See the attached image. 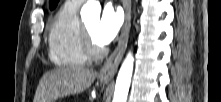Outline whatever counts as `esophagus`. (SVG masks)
Here are the masks:
<instances>
[{"label": "esophagus", "instance_id": "esophagus-1", "mask_svg": "<svg viewBox=\"0 0 221 102\" xmlns=\"http://www.w3.org/2000/svg\"><path fill=\"white\" fill-rule=\"evenodd\" d=\"M124 7L126 15H125L124 26L122 28L121 37L115 50L106 60L105 64L103 65L99 73V76L102 79L110 80L114 77L127 47L129 30L131 25V0H125Z\"/></svg>", "mask_w": 221, "mask_h": 102}]
</instances>
